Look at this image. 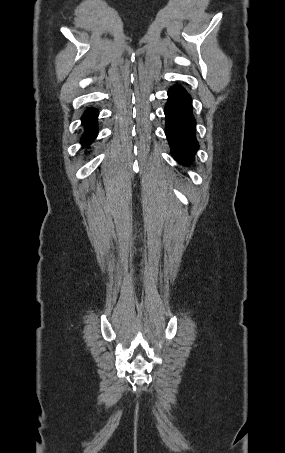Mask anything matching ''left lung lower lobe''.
Returning <instances> with one entry per match:
<instances>
[{"label":"left lung lower lobe","mask_w":285,"mask_h":453,"mask_svg":"<svg viewBox=\"0 0 285 453\" xmlns=\"http://www.w3.org/2000/svg\"><path fill=\"white\" fill-rule=\"evenodd\" d=\"M164 112L165 133L171 154L178 163L188 165L194 161L199 145L195 137L196 121L192 113V99L180 85L169 89Z\"/></svg>","instance_id":"0a47b994"}]
</instances>
